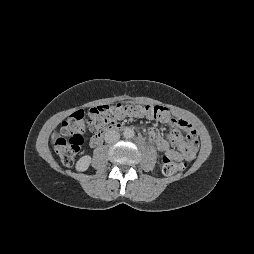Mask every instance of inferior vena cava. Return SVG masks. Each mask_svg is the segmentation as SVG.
I'll return each mask as SVG.
<instances>
[{
	"mask_svg": "<svg viewBox=\"0 0 254 254\" xmlns=\"http://www.w3.org/2000/svg\"><path fill=\"white\" fill-rule=\"evenodd\" d=\"M119 138H120V134L115 130H109L104 135V139L107 143H114L118 141Z\"/></svg>",
	"mask_w": 254,
	"mask_h": 254,
	"instance_id": "inferior-vena-cava-1",
	"label": "inferior vena cava"
}]
</instances>
